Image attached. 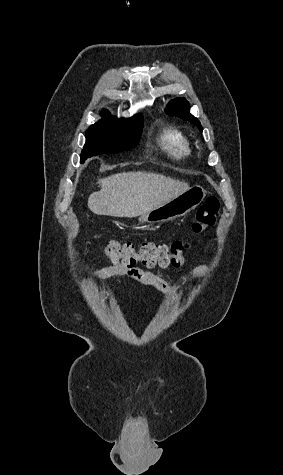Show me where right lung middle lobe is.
I'll use <instances>...</instances> for the list:
<instances>
[{"label":"right lung middle lobe","instance_id":"right-lung-middle-lobe-1","mask_svg":"<svg viewBox=\"0 0 283 475\" xmlns=\"http://www.w3.org/2000/svg\"><path fill=\"white\" fill-rule=\"evenodd\" d=\"M103 119L86 131V143L81 153V162L99 154H114L135 147L140 139L143 117L136 115L131 120L118 119L106 110Z\"/></svg>","mask_w":283,"mask_h":475}]
</instances>
